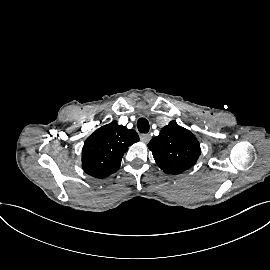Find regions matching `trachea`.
Returning a JSON list of instances; mask_svg holds the SVG:
<instances>
[{
    "label": "trachea",
    "instance_id": "3493384b",
    "mask_svg": "<svg viewBox=\"0 0 270 270\" xmlns=\"http://www.w3.org/2000/svg\"><path fill=\"white\" fill-rule=\"evenodd\" d=\"M137 128L140 133H147L150 128L149 122L145 118H140L137 122Z\"/></svg>",
    "mask_w": 270,
    "mask_h": 270
}]
</instances>
